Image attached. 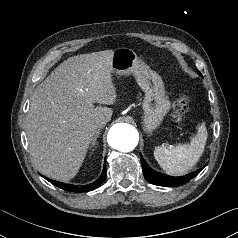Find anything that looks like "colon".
Here are the masks:
<instances>
[{
	"instance_id": "1",
	"label": "colon",
	"mask_w": 238,
	"mask_h": 238,
	"mask_svg": "<svg viewBox=\"0 0 238 238\" xmlns=\"http://www.w3.org/2000/svg\"><path fill=\"white\" fill-rule=\"evenodd\" d=\"M190 109V101L188 97L182 96L175 101L173 106V112L171 116L172 123L174 125H180L184 120L186 114Z\"/></svg>"
}]
</instances>
